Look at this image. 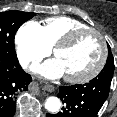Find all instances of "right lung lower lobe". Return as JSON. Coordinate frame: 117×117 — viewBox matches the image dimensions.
<instances>
[{
	"label": "right lung lower lobe",
	"instance_id": "right-lung-lower-lobe-1",
	"mask_svg": "<svg viewBox=\"0 0 117 117\" xmlns=\"http://www.w3.org/2000/svg\"><path fill=\"white\" fill-rule=\"evenodd\" d=\"M32 81L17 62L0 61V117H12L15 99L20 91H27Z\"/></svg>",
	"mask_w": 117,
	"mask_h": 117
}]
</instances>
